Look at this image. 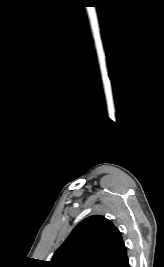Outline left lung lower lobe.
<instances>
[{"mask_svg":"<svg viewBox=\"0 0 164 267\" xmlns=\"http://www.w3.org/2000/svg\"><path fill=\"white\" fill-rule=\"evenodd\" d=\"M104 267H130L127 251L124 243L119 247V249L113 254V256L108 260Z\"/></svg>","mask_w":164,"mask_h":267,"instance_id":"obj_1","label":"left lung lower lobe"}]
</instances>
